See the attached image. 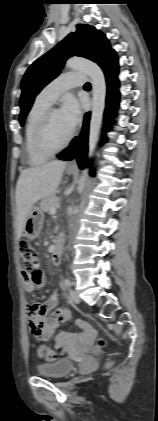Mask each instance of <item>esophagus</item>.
Segmentation results:
<instances>
[{
	"label": "esophagus",
	"instance_id": "34e87169",
	"mask_svg": "<svg viewBox=\"0 0 158 421\" xmlns=\"http://www.w3.org/2000/svg\"><path fill=\"white\" fill-rule=\"evenodd\" d=\"M69 167H71V168H75V167H77V164H76V159H73V160L69 163Z\"/></svg>",
	"mask_w": 158,
	"mask_h": 421
}]
</instances>
